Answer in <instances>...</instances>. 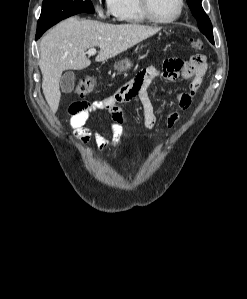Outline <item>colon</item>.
Segmentation results:
<instances>
[{
    "instance_id": "obj_1",
    "label": "colon",
    "mask_w": 247,
    "mask_h": 299,
    "mask_svg": "<svg viewBox=\"0 0 247 299\" xmlns=\"http://www.w3.org/2000/svg\"><path fill=\"white\" fill-rule=\"evenodd\" d=\"M190 45L193 49L200 50L203 46L201 39H192ZM95 80L92 77L82 78L76 86L75 92L80 96L91 93L94 89Z\"/></svg>"
}]
</instances>
